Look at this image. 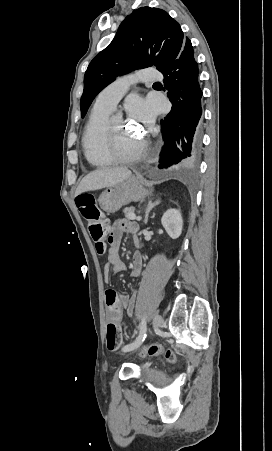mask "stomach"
I'll return each mask as SVG.
<instances>
[{
    "label": "stomach",
    "instance_id": "obj_1",
    "mask_svg": "<svg viewBox=\"0 0 272 451\" xmlns=\"http://www.w3.org/2000/svg\"><path fill=\"white\" fill-rule=\"evenodd\" d=\"M141 182H143L142 176H140V174H135V176H130V178H126L123 182H118V184L109 186V188L99 196L98 202L101 210L108 212V214H114V212H118L122 206L130 204V202H140V200H144L151 192L145 190Z\"/></svg>",
    "mask_w": 272,
    "mask_h": 451
}]
</instances>
